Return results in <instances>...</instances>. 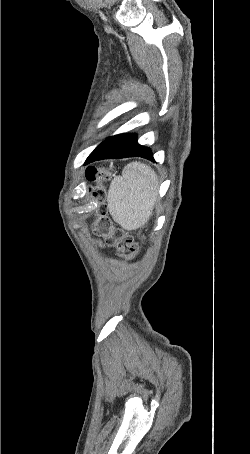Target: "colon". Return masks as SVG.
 <instances>
[{
  "instance_id": "1",
  "label": "colon",
  "mask_w": 250,
  "mask_h": 454,
  "mask_svg": "<svg viewBox=\"0 0 250 454\" xmlns=\"http://www.w3.org/2000/svg\"><path fill=\"white\" fill-rule=\"evenodd\" d=\"M87 177L96 184L91 188L90 193L94 198H102L106 195L105 183L111 177V169L89 168ZM94 230L100 234L108 246L116 249L117 255L129 261L133 259L138 252V245L131 235L121 228H116L112 225L106 215L104 207H100L97 214V220L94 224Z\"/></svg>"
}]
</instances>
